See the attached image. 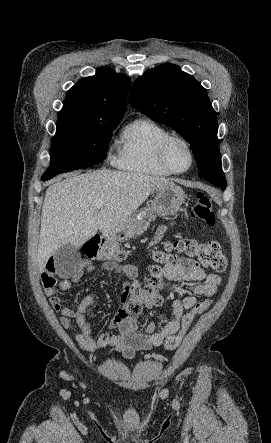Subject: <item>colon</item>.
Wrapping results in <instances>:
<instances>
[{"label": "colon", "mask_w": 271, "mask_h": 443, "mask_svg": "<svg viewBox=\"0 0 271 443\" xmlns=\"http://www.w3.org/2000/svg\"><path fill=\"white\" fill-rule=\"evenodd\" d=\"M190 214L192 218L208 226L215 223L212 201L204 193L199 192L197 194L196 202L192 206ZM165 250L184 252L188 256L197 259L205 268L216 272L224 271L227 266V260L222 253L221 246L216 241L198 243L193 240L179 239L167 243ZM164 252L162 250L153 252L152 259L154 263L150 266V275L146 285L140 286L134 283L126 290L128 293L127 309L130 314H138L144 307L159 306L162 303L160 289L164 283L160 264L164 259ZM84 255L88 259L104 261H124L127 258L126 250L100 237H94L88 241L84 248ZM41 282L45 289L53 288L56 285L55 266L52 261L49 262L46 270L42 273ZM211 303L212 300L200 301L184 314L179 331L166 338L164 344L166 350L174 351L178 348L192 322L205 312Z\"/></svg>", "instance_id": "colon-1"}]
</instances>
